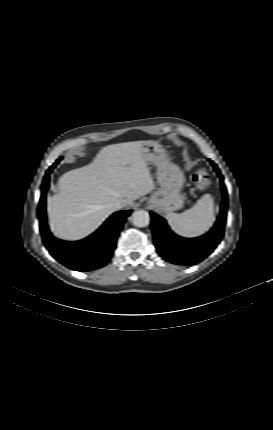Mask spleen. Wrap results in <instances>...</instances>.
<instances>
[{
	"mask_svg": "<svg viewBox=\"0 0 273 430\" xmlns=\"http://www.w3.org/2000/svg\"><path fill=\"white\" fill-rule=\"evenodd\" d=\"M166 218L176 234L186 238L201 236L214 223V200L210 194H205L191 209L179 214L168 212Z\"/></svg>",
	"mask_w": 273,
	"mask_h": 430,
	"instance_id": "1",
	"label": "spleen"
}]
</instances>
